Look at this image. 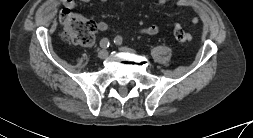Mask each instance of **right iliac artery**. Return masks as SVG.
Listing matches in <instances>:
<instances>
[{
	"instance_id": "obj_1",
	"label": "right iliac artery",
	"mask_w": 253,
	"mask_h": 138,
	"mask_svg": "<svg viewBox=\"0 0 253 138\" xmlns=\"http://www.w3.org/2000/svg\"><path fill=\"white\" fill-rule=\"evenodd\" d=\"M110 45V42L107 38H103L101 41H100V47L103 48V49H106L108 48Z\"/></svg>"
}]
</instances>
